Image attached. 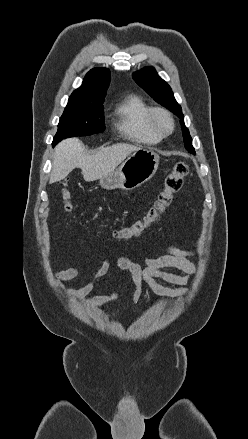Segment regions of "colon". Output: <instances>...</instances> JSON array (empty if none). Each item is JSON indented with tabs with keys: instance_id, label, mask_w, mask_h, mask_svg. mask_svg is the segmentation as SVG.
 Listing matches in <instances>:
<instances>
[{
	"instance_id": "colon-1",
	"label": "colon",
	"mask_w": 248,
	"mask_h": 439,
	"mask_svg": "<svg viewBox=\"0 0 248 439\" xmlns=\"http://www.w3.org/2000/svg\"><path fill=\"white\" fill-rule=\"evenodd\" d=\"M188 174V165L184 162L177 163L173 171L166 177L163 190L147 214L129 227L112 231L108 237L112 241L122 242L141 236L150 226L159 221L162 214L172 203L173 195L181 189L183 180ZM62 200L64 209L68 212L71 211V197L65 187L62 189Z\"/></svg>"
}]
</instances>
